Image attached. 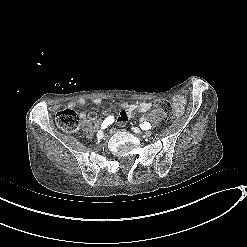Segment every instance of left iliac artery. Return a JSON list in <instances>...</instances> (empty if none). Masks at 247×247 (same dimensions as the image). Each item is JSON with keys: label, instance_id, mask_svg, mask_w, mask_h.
Listing matches in <instances>:
<instances>
[{"label": "left iliac artery", "instance_id": "1", "mask_svg": "<svg viewBox=\"0 0 247 247\" xmlns=\"http://www.w3.org/2000/svg\"><path fill=\"white\" fill-rule=\"evenodd\" d=\"M151 124L149 122H143L140 124V128L143 129V130H149L151 129Z\"/></svg>", "mask_w": 247, "mask_h": 247}]
</instances>
